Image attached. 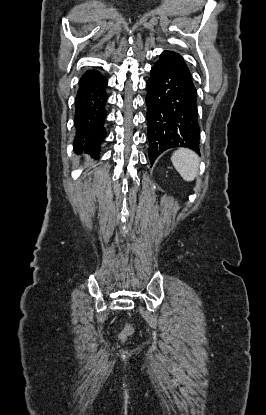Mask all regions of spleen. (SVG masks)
I'll return each instance as SVG.
<instances>
[{
  "instance_id": "spleen-1",
  "label": "spleen",
  "mask_w": 266,
  "mask_h": 415,
  "mask_svg": "<svg viewBox=\"0 0 266 415\" xmlns=\"http://www.w3.org/2000/svg\"><path fill=\"white\" fill-rule=\"evenodd\" d=\"M171 161L185 181H193L198 175L199 157L189 149H178L172 154Z\"/></svg>"
}]
</instances>
